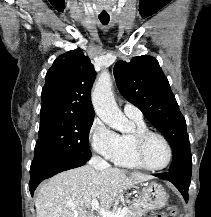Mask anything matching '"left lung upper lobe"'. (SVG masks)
<instances>
[{"instance_id": "left-lung-upper-lobe-1", "label": "left lung upper lobe", "mask_w": 211, "mask_h": 217, "mask_svg": "<svg viewBox=\"0 0 211 217\" xmlns=\"http://www.w3.org/2000/svg\"><path fill=\"white\" fill-rule=\"evenodd\" d=\"M114 76L121 94L168 140L173 151L169 171L191 173L186 121L158 61L147 55L134 57L130 63L120 60L114 66Z\"/></svg>"}]
</instances>
